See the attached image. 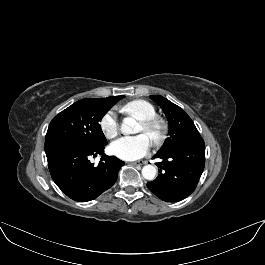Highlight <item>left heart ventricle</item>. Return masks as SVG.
<instances>
[{
    "label": "left heart ventricle",
    "mask_w": 265,
    "mask_h": 265,
    "mask_svg": "<svg viewBox=\"0 0 265 265\" xmlns=\"http://www.w3.org/2000/svg\"><path fill=\"white\" fill-rule=\"evenodd\" d=\"M139 131H140V132H145V131H144V128H143V126H142V124L140 125V129H139ZM146 134H147V133H146ZM147 135H148V134H147Z\"/></svg>",
    "instance_id": "1"
}]
</instances>
